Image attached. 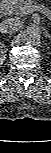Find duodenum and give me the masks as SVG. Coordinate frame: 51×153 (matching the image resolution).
Listing matches in <instances>:
<instances>
[{"label": "duodenum", "mask_w": 51, "mask_h": 153, "mask_svg": "<svg viewBox=\"0 0 51 153\" xmlns=\"http://www.w3.org/2000/svg\"><path fill=\"white\" fill-rule=\"evenodd\" d=\"M9 4H10L9 0H5L2 2L1 6H0V15H4L6 13V11L9 8Z\"/></svg>", "instance_id": "1"}]
</instances>
